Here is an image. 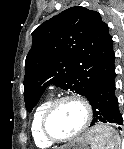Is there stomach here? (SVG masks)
<instances>
[{
    "instance_id": "stomach-1",
    "label": "stomach",
    "mask_w": 124,
    "mask_h": 149,
    "mask_svg": "<svg viewBox=\"0 0 124 149\" xmlns=\"http://www.w3.org/2000/svg\"><path fill=\"white\" fill-rule=\"evenodd\" d=\"M103 127L102 125H98L95 128H92L90 131H88L83 137H81L76 142L68 145L64 149H87V147L90 143L89 138L93 136L96 133V128Z\"/></svg>"
}]
</instances>
